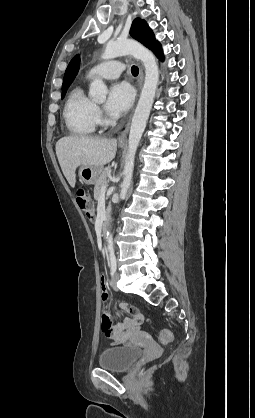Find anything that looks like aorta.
Here are the masks:
<instances>
[{
  "label": "aorta",
  "mask_w": 255,
  "mask_h": 418,
  "mask_svg": "<svg viewBox=\"0 0 255 418\" xmlns=\"http://www.w3.org/2000/svg\"><path fill=\"white\" fill-rule=\"evenodd\" d=\"M127 54L132 55L143 63L145 68V81L130 126L128 153L120 192L121 199L126 196L127 190L131 185L135 153L145 130L159 82L158 64L153 53L136 41L119 40L108 42L102 58L108 60ZM107 92V86L101 79H95L90 84L89 95L97 102L105 101ZM107 249L110 255H114L113 237L109 232H107Z\"/></svg>",
  "instance_id": "aorta-1"
}]
</instances>
